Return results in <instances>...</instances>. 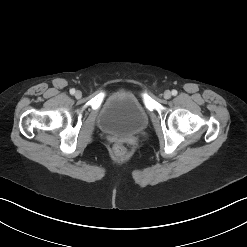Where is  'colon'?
I'll list each match as a JSON object with an SVG mask.
<instances>
[{
	"label": "colon",
	"mask_w": 247,
	"mask_h": 247,
	"mask_svg": "<svg viewBox=\"0 0 247 247\" xmlns=\"http://www.w3.org/2000/svg\"><path fill=\"white\" fill-rule=\"evenodd\" d=\"M114 153L116 157L120 160H123L126 158V149L122 145H117L114 148Z\"/></svg>",
	"instance_id": "colon-1"
}]
</instances>
